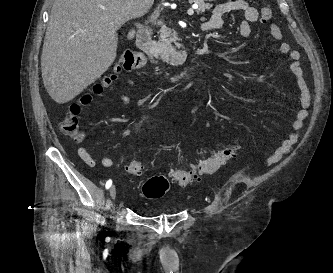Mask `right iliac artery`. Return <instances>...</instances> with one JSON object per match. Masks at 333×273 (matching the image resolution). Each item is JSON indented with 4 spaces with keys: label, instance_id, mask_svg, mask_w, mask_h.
I'll return each mask as SVG.
<instances>
[{
    "label": "right iliac artery",
    "instance_id": "1",
    "mask_svg": "<svg viewBox=\"0 0 333 273\" xmlns=\"http://www.w3.org/2000/svg\"><path fill=\"white\" fill-rule=\"evenodd\" d=\"M111 185H112V180H108L107 182H106V189H109L110 187H111Z\"/></svg>",
    "mask_w": 333,
    "mask_h": 273
}]
</instances>
